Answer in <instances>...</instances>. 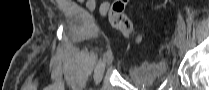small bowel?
Wrapping results in <instances>:
<instances>
[{
    "label": "small bowel",
    "mask_w": 209,
    "mask_h": 90,
    "mask_svg": "<svg viewBox=\"0 0 209 90\" xmlns=\"http://www.w3.org/2000/svg\"><path fill=\"white\" fill-rule=\"evenodd\" d=\"M110 3L108 1L103 2L99 7V14L101 16L107 15L109 11ZM86 8L88 11H93L96 8L95 0H88L86 2Z\"/></svg>",
    "instance_id": "small-bowel-1"
}]
</instances>
